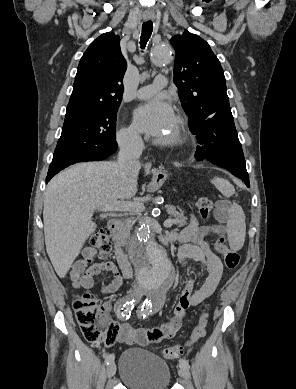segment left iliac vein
I'll return each mask as SVG.
<instances>
[{
  "instance_id": "1",
  "label": "left iliac vein",
  "mask_w": 296,
  "mask_h": 389,
  "mask_svg": "<svg viewBox=\"0 0 296 389\" xmlns=\"http://www.w3.org/2000/svg\"><path fill=\"white\" fill-rule=\"evenodd\" d=\"M178 374L180 377H182L183 379L189 381L190 380V372H189V369L186 368V367H183V366H180L179 370H178Z\"/></svg>"
}]
</instances>
